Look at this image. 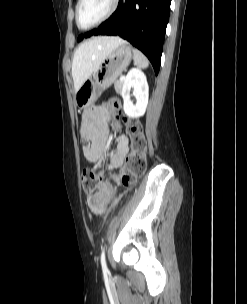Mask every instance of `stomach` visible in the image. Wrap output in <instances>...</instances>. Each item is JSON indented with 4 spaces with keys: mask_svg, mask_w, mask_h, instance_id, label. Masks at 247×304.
Wrapping results in <instances>:
<instances>
[{
    "mask_svg": "<svg viewBox=\"0 0 247 304\" xmlns=\"http://www.w3.org/2000/svg\"><path fill=\"white\" fill-rule=\"evenodd\" d=\"M132 59V48L122 44L112 51L93 73L75 92V103L82 109L91 107L102 91L108 88L121 75Z\"/></svg>",
    "mask_w": 247,
    "mask_h": 304,
    "instance_id": "1",
    "label": "stomach"
}]
</instances>
